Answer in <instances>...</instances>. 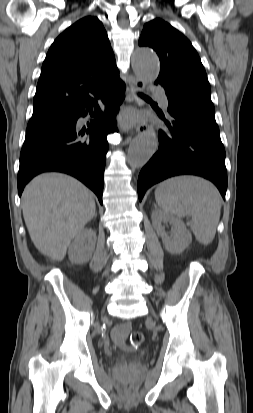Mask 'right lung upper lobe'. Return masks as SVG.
I'll list each match as a JSON object with an SVG mask.
<instances>
[{"instance_id":"1","label":"right lung upper lobe","mask_w":253,"mask_h":413,"mask_svg":"<svg viewBox=\"0 0 253 413\" xmlns=\"http://www.w3.org/2000/svg\"><path fill=\"white\" fill-rule=\"evenodd\" d=\"M118 73L103 24L96 17H84L51 45L42 65L32 116L69 111L99 97Z\"/></svg>"}]
</instances>
